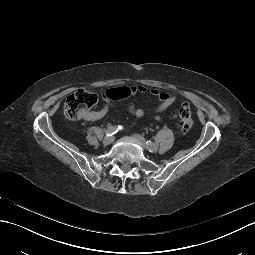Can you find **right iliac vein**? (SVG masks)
Returning <instances> with one entry per match:
<instances>
[{"label": "right iliac vein", "mask_w": 255, "mask_h": 255, "mask_svg": "<svg viewBox=\"0 0 255 255\" xmlns=\"http://www.w3.org/2000/svg\"><path fill=\"white\" fill-rule=\"evenodd\" d=\"M113 141H114L113 136L105 137L104 140H103V144L104 145H109V144L113 143Z\"/></svg>", "instance_id": "1"}]
</instances>
